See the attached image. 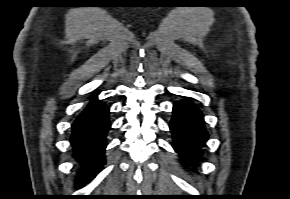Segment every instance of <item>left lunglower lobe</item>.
<instances>
[{
	"label": "left lung lower lobe",
	"instance_id": "1",
	"mask_svg": "<svg viewBox=\"0 0 290 199\" xmlns=\"http://www.w3.org/2000/svg\"><path fill=\"white\" fill-rule=\"evenodd\" d=\"M170 130L174 138V149L184 161L195 163L199 148L206 142L208 134L204 128L203 115L190 100L174 105Z\"/></svg>",
	"mask_w": 290,
	"mask_h": 199
}]
</instances>
